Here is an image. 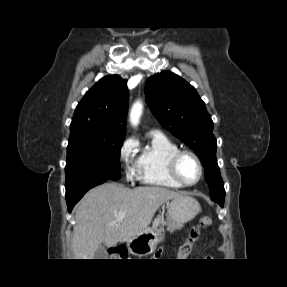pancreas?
Instances as JSON below:
<instances>
[{"label":"pancreas","mask_w":287,"mask_h":287,"mask_svg":"<svg viewBox=\"0 0 287 287\" xmlns=\"http://www.w3.org/2000/svg\"><path fill=\"white\" fill-rule=\"evenodd\" d=\"M163 223V218L162 217H158L153 221V229L157 230V227Z\"/></svg>","instance_id":"pancreas-1"}]
</instances>
